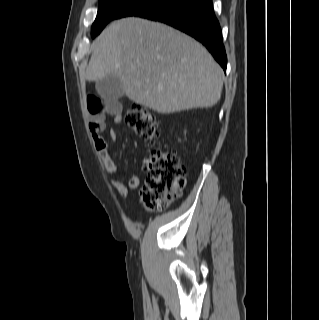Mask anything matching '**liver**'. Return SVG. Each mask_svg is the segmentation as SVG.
<instances>
[{
	"instance_id": "6515ba94",
	"label": "liver",
	"mask_w": 319,
	"mask_h": 320,
	"mask_svg": "<svg viewBox=\"0 0 319 320\" xmlns=\"http://www.w3.org/2000/svg\"><path fill=\"white\" fill-rule=\"evenodd\" d=\"M93 48L86 79L113 74L130 100L158 113L212 107L221 97V67L200 43L165 24L123 18Z\"/></svg>"
}]
</instances>
